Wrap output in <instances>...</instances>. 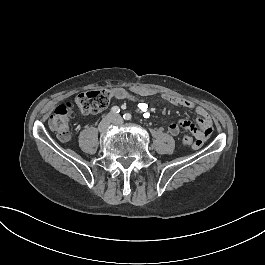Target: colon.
<instances>
[{"mask_svg":"<svg viewBox=\"0 0 265 265\" xmlns=\"http://www.w3.org/2000/svg\"><path fill=\"white\" fill-rule=\"evenodd\" d=\"M114 97V92L110 89H92L79 94L75 102L81 114L89 115L106 109L114 100ZM69 113L70 110L65 104L59 106L49 118L50 128L61 140H67L69 138V131L67 128V117ZM183 143L193 148L195 139L193 136H184Z\"/></svg>","mask_w":265,"mask_h":265,"instance_id":"5ec220e1","label":"colon"}]
</instances>
